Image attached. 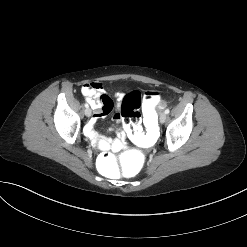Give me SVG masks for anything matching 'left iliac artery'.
<instances>
[{"label":"left iliac artery","instance_id":"1","mask_svg":"<svg viewBox=\"0 0 247 247\" xmlns=\"http://www.w3.org/2000/svg\"><path fill=\"white\" fill-rule=\"evenodd\" d=\"M169 112H170L169 109H166V110H165V113H166V114H169Z\"/></svg>","mask_w":247,"mask_h":247}]
</instances>
